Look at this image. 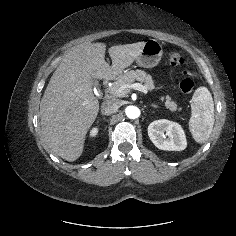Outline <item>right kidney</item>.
Listing matches in <instances>:
<instances>
[{
  "mask_svg": "<svg viewBox=\"0 0 236 236\" xmlns=\"http://www.w3.org/2000/svg\"><path fill=\"white\" fill-rule=\"evenodd\" d=\"M97 133H98V128H93V129L91 130V132H90V135H91L92 137H94V136L97 135Z\"/></svg>",
  "mask_w": 236,
  "mask_h": 236,
  "instance_id": "right-kidney-1",
  "label": "right kidney"
}]
</instances>
